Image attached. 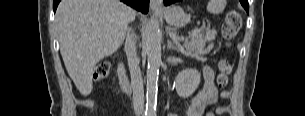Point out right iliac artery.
I'll return each mask as SVG.
<instances>
[{
	"label": "right iliac artery",
	"mask_w": 305,
	"mask_h": 116,
	"mask_svg": "<svg viewBox=\"0 0 305 116\" xmlns=\"http://www.w3.org/2000/svg\"><path fill=\"white\" fill-rule=\"evenodd\" d=\"M143 116H151V114L145 112V114Z\"/></svg>",
	"instance_id": "right-iliac-artery-1"
}]
</instances>
